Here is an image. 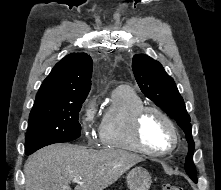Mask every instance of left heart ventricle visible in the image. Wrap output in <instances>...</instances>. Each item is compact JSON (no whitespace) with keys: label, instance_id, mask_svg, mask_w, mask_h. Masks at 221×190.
<instances>
[{"label":"left heart ventricle","instance_id":"1","mask_svg":"<svg viewBox=\"0 0 221 190\" xmlns=\"http://www.w3.org/2000/svg\"><path fill=\"white\" fill-rule=\"evenodd\" d=\"M141 135L145 143L156 150L169 148L173 136L169 126L156 113L149 112L143 119Z\"/></svg>","mask_w":221,"mask_h":190}]
</instances>
